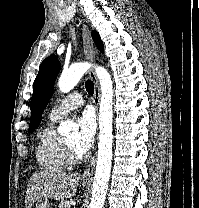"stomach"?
I'll list each match as a JSON object with an SVG mask.
<instances>
[{
    "label": "stomach",
    "mask_w": 199,
    "mask_h": 208,
    "mask_svg": "<svg viewBox=\"0 0 199 208\" xmlns=\"http://www.w3.org/2000/svg\"><path fill=\"white\" fill-rule=\"evenodd\" d=\"M34 208H50V202L48 199H41L36 201Z\"/></svg>",
    "instance_id": "1"
}]
</instances>
